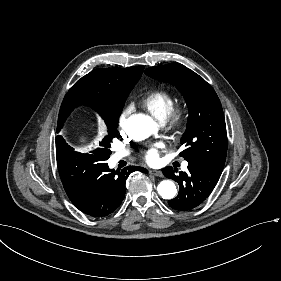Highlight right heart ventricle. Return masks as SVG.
Segmentation results:
<instances>
[{
  "mask_svg": "<svg viewBox=\"0 0 281 281\" xmlns=\"http://www.w3.org/2000/svg\"><path fill=\"white\" fill-rule=\"evenodd\" d=\"M176 103V96L166 89H155L148 92L142 99V104L157 119L167 117Z\"/></svg>",
  "mask_w": 281,
  "mask_h": 281,
  "instance_id": "obj_1",
  "label": "right heart ventricle"
}]
</instances>
